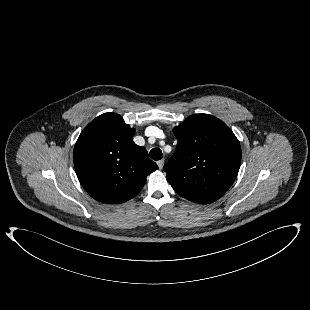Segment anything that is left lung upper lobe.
I'll return each instance as SVG.
<instances>
[{
  "mask_svg": "<svg viewBox=\"0 0 310 310\" xmlns=\"http://www.w3.org/2000/svg\"><path fill=\"white\" fill-rule=\"evenodd\" d=\"M178 139L164 166L166 179L182 197L200 204L221 198L233 184L241 163V147L220 119L191 115L173 129Z\"/></svg>",
  "mask_w": 310,
  "mask_h": 310,
  "instance_id": "left-lung-upper-lobe-1",
  "label": "left lung upper lobe"
}]
</instances>
